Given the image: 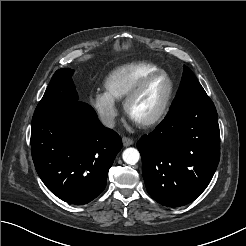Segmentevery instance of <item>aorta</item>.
<instances>
[{
  "label": "aorta",
  "mask_w": 246,
  "mask_h": 246,
  "mask_svg": "<svg viewBox=\"0 0 246 246\" xmlns=\"http://www.w3.org/2000/svg\"><path fill=\"white\" fill-rule=\"evenodd\" d=\"M122 157L126 164L135 165L139 161L140 154L137 149L130 147L123 151Z\"/></svg>",
  "instance_id": "aorta-1"
}]
</instances>
